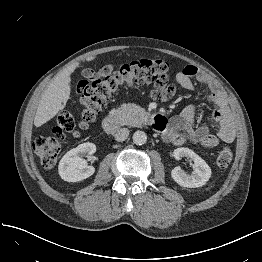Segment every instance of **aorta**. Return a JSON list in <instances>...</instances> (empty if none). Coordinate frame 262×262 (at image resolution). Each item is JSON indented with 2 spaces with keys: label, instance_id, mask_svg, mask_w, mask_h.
<instances>
[{
  "label": "aorta",
  "instance_id": "obj_1",
  "mask_svg": "<svg viewBox=\"0 0 262 262\" xmlns=\"http://www.w3.org/2000/svg\"><path fill=\"white\" fill-rule=\"evenodd\" d=\"M133 142L134 144L136 145H143L146 143L147 141V135L145 134V132L143 131H136L134 134H133Z\"/></svg>",
  "mask_w": 262,
  "mask_h": 262
}]
</instances>
